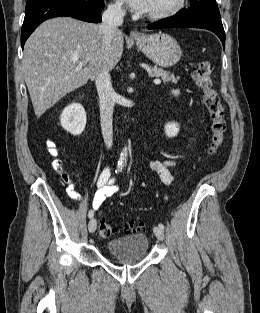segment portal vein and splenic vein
Segmentation results:
<instances>
[{
    "label": "portal vein and splenic vein",
    "instance_id": "1",
    "mask_svg": "<svg viewBox=\"0 0 260 313\" xmlns=\"http://www.w3.org/2000/svg\"><path fill=\"white\" fill-rule=\"evenodd\" d=\"M72 60L78 63V67L81 68L83 66V62L79 61V58L77 56H73ZM155 84H160L161 80L160 79H155L154 80Z\"/></svg>",
    "mask_w": 260,
    "mask_h": 313
}]
</instances>
